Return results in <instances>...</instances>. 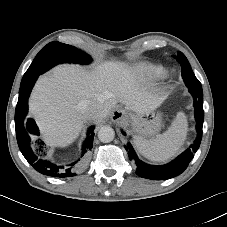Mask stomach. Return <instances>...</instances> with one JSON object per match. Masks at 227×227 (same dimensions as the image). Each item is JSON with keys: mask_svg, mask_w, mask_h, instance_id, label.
<instances>
[{"mask_svg": "<svg viewBox=\"0 0 227 227\" xmlns=\"http://www.w3.org/2000/svg\"><path fill=\"white\" fill-rule=\"evenodd\" d=\"M127 123L131 126L136 136L150 138L156 135L162 126L160 113L154 111L145 114H128Z\"/></svg>", "mask_w": 227, "mask_h": 227, "instance_id": "0dacf381", "label": "stomach"}]
</instances>
